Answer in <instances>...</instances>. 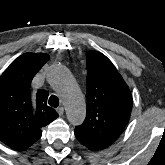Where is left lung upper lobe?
I'll return each instance as SVG.
<instances>
[{
  "label": "left lung upper lobe",
  "mask_w": 165,
  "mask_h": 165,
  "mask_svg": "<svg viewBox=\"0 0 165 165\" xmlns=\"http://www.w3.org/2000/svg\"><path fill=\"white\" fill-rule=\"evenodd\" d=\"M86 59L87 114L84 123L75 129L108 147L129 121L132 96L127 84L105 55L89 51Z\"/></svg>",
  "instance_id": "left-lung-upper-lobe-1"
}]
</instances>
